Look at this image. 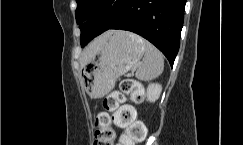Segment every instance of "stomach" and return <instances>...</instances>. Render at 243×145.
I'll list each match as a JSON object with an SVG mask.
<instances>
[{
	"label": "stomach",
	"mask_w": 243,
	"mask_h": 145,
	"mask_svg": "<svg viewBox=\"0 0 243 145\" xmlns=\"http://www.w3.org/2000/svg\"><path fill=\"white\" fill-rule=\"evenodd\" d=\"M140 37L125 31H111L83 67L84 87L92 98H100L115 86L118 77L131 70L144 54Z\"/></svg>",
	"instance_id": "stomach-1"
}]
</instances>
